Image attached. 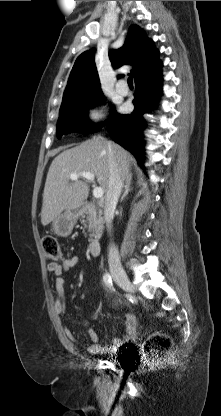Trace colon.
<instances>
[{"label":"colon","instance_id":"obj_1","mask_svg":"<svg viewBox=\"0 0 221 416\" xmlns=\"http://www.w3.org/2000/svg\"><path fill=\"white\" fill-rule=\"evenodd\" d=\"M42 246L46 258L53 262H58L62 258V250L56 238L46 236L42 239ZM172 347L169 337L161 333L150 335L145 341V351L151 356H162Z\"/></svg>","mask_w":221,"mask_h":416}]
</instances>
